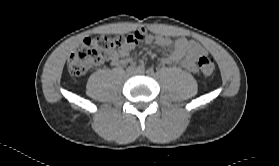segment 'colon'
Segmentation results:
<instances>
[{"label":"colon","instance_id":"1","mask_svg":"<svg viewBox=\"0 0 279 166\" xmlns=\"http://www.w3.org/2000/svg\"><path fill=\"white\" fill-rule=\"evenodd\" d=\"M136 36H99L87 38L73 52L68 61V68L72 75L83 76L93 67L119 54ZM198 67L205 76H211L216 70L215 60L209 56H201Z\"/></svg>","mask_w":279,"mask_h":166}]
</instances>
